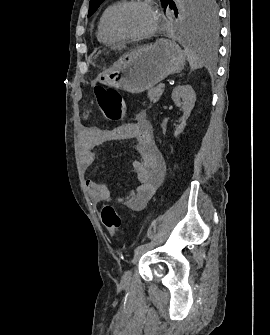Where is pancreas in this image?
<instances>
[{"mask_svg":"<svg viewBox=\"0 0 270 335\" xmlns=\"http://www.w3.org/2000/svg\"><path fill=\"white\" fill-rule=\"evenodd\" d=\"M163 92L164 90L161 89V84H159V86H156V88H152V90H148L147 94L150 102H153V104H155V102H158Z\"/></svg>","mask_w":270,"mask_h":335,"instance_id":"obj_1","label":"pancreas"}]
</instances>
